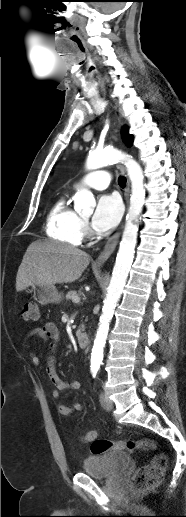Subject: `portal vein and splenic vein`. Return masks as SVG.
Listing matches in <instances>:
<instances>
[{
    "label": "portal vein and splenic vein",
    "instance_id": "obj_1",
    "mask_svg": "<svg viewBox=\"0 0 186 517\" xmlns=\"http://www.w3.org/2000/svg\"><path fill=\"white\" fill-rule=\"evenodd\" d=\"M72 301H73L74 303H79V302H80V298H74Z\"/></svg>",
    "mask_w": 186,
    "mask_h": 517
}]
</instances>
